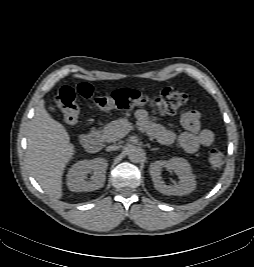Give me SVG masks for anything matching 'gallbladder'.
Segmentation results:
<instances>
[{"label": "gallbladder", "mask_w": 254, "mask_h": 267, "mask_svg": "<svg viewBox=\"0 0 254 267\" xmlns=\"http://www.w3.org/2000/svg\"><path fill=\"white\" fill-rule=\"evenodd\" d=\"M49 110L52 111V112H54V111H55V107L52 106V105H50V106H49Z\"/></svg>", "instance_id": "bac80fb5"}]
</instances>
